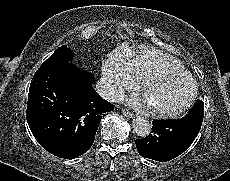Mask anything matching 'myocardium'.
<instances>
[{
  "label": "myocardium",
  "instance_id": "f54148a6",
  "mask_svg": "<svg viewBox=\"0 0 230 181\" xmlns=\"http://www.w3.org/2000/svg\"><path fill=\"white\" fill-rule=\"evenodd\" d=\"M168 77H172V78H182L185 79L187 81H189V83L192 86L191 92L188 96V98L185 100V102L176 107V108H172V109H165V108H154L152 107V113L157 115V116H165V117H175L178 116L182 113H184L186 110H188V108L193 104L196 96H197V91H198V87H197V83L194 80V78L185 70H162V71H157L154 72L152 74H150L149 76H147L140 84L139 87V91L141 92V94L146 95V91L147 89L150 87L151 84L163 79V78H168Z\"/></svg>",
  "mask_w": 230,
  "mask_h": 181
}]
</instances>
